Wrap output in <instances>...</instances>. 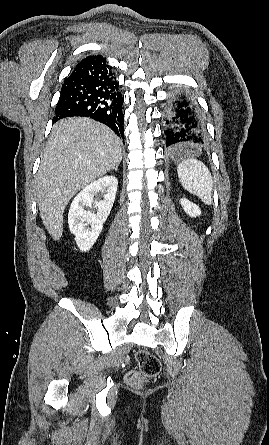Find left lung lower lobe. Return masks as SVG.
<instances>
[{"instance_id":"left-lung-lower-lobe-1","label":"left lung lower lobe","mask_w":269,"mask_h":445,"mask_svg":"<svg viewBox=\"0 0 269 445\" xmlns=\"http://www.w3.org/2000/svg\"><path fill=\"white\" fill-rule=\"evenodd\" d=\"M166 147L181 152L186 145L198 146L205 140V124L195 100L185 92L175 93L165 112Z\"/></svg>"}]
</instances>
